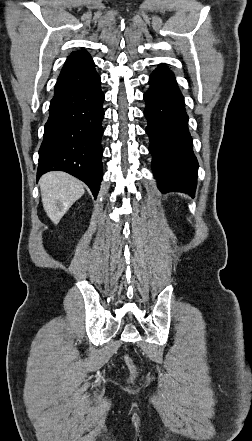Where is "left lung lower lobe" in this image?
<instances>
[{
    "instance_id": "1",
    "label": "left lung lower lobe",
    "mask_w": 252,
    "mask_h": 441,
    "mask_svg": "<svg viewBox=\"0 0 252 441\" xmlns=\"http://www.w3.org/2000/svg\"><path fill=\"white\" fill-rule=\"evenodd\" d=\"M144 94L146 133L150 138L152 170L162 193L184 192L194 195L198 161L193 152L184 97L174 74L159 65L149 78Z\"/></svg>"
}]
</instances>
